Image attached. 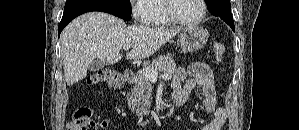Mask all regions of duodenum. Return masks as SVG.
<instances>
[{
  "label": "duodenum",
  "instance_id": "obj_1",
  "mask_svg": "<svg viewBox=\"0 0 299 130\" xmlns=\"http://www.w3.org/2000/svg\"><path fill=\"white\" fill-rule=\"evenodd\" d=\"M124 76H125V79L128 83H132L135 79V73L132 69H126L124 71ZM186 101V97H178V96H175L173 101H172V104L170 106L169 109H167L164 114L161 116V119L162 120H167L170 115H171V112L179 105H182L184 102ZM145 123H148V124H151L154 122V119L153 118H149V119H146L144 120Z\"/></svg>",
  "mask_w": 299,
  "mask_h": 130
}]
</instances>
